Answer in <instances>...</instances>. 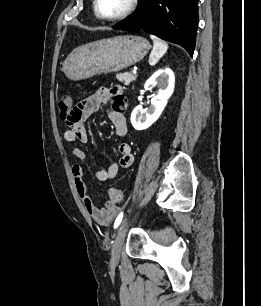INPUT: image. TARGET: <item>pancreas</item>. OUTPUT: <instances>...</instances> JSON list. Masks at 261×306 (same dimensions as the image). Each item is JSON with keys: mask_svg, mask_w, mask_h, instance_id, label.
Segmentation results:
<instances>
[{"mask_svg": "<svg viewBox=\"0 0 261 306\" xmlns=\"http://www.w3.org/2000/svg\"><path fill=\"white\" fill-rule=\"evenodd\" d=\"M137 75L131 73H119L116 75V78L123 82L125 85H129L131 82L136 80Z\"/></svg>", "mask_w": 261, "mask_h": 306, "instance_id": "obj_1", "label": "pancreas"}]
</instances>
